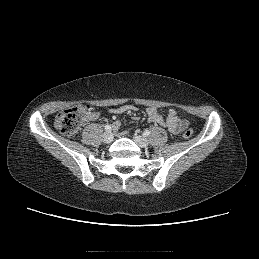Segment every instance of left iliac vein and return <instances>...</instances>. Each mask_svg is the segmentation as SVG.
Here are the masks:
<instances>
[{"instance_id":"1","label":"left iliac vein","mask_w":259,"mask_h":259,"mask_svg":"<svg viewBox=\"0 0 259 259\" xmlns=\"http://www.w3.org/2000/svg\"><path fill=\"white\" fill-rule=\"evenodd\" d=\"M134 141L136 142V144L141 147V148H146L149 145V141L147 140V138H145L144 136H140V135H135L134 137Z\"/></svg>"}]
</instances>
